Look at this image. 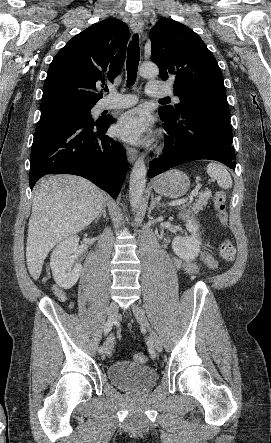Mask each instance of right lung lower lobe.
Listing matches in <instances>:
<instances>
[{"label":"right lung lower lobe","mask_w":271,"mask_h":443,"mask_svg":"<svg viewBox=\"0 0 271 443\" xmlns=\"http://www.w3.org/2000/svg\"><path fill=\"white\" fill-rule=\"evenodd\" d=\"M113 122L112 117L87 121L70 113L40 118L31 149L30 188L46 174H74L116 199L127 161L124 147L105 134Z\"/></svg>","instance_id":"98d812e1"}]
</instances>
